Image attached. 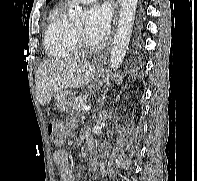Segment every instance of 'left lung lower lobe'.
Here are the masks:
<instances>
[{
    "mask_svg": "<svg viewBox=\"0 0 197 181\" xmlns=\"http://www.w3.org/2000/svg\"><path fill=\"white\" fill-rule=\"evenodd\" d=\"M141 48H142V42H141V39L139 38V39H137V41L135 42V50H136L137 52H139V51L141 50Z\"/></svg>",
    "mask_w": 197,
    "mask_h": 181,
    "instance_id": "obj_1",
    "label": "left lung lower lobe"
}]
</instances>
